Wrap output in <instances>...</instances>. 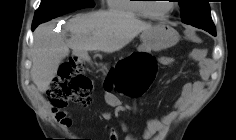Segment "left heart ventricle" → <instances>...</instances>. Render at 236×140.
Segmentation results:
<instances>
[{"instance_id": "obj_1", "label": "left heart ventricle", "mask_w": 236, "mask_h": 140, "mask_svg": "<svg viewBox=\"0 0 236 140\" xmlns=\"http://www.w3.org/2000/svg\"><path fill=\"white\" fill-rule=\"evenodd\" d=\"M170 3L172 2H167L163 0H154L151 5V9L154 13L157 14H162L165 13L169 8L171 7Z\"/></svg>"}]
</instances>
